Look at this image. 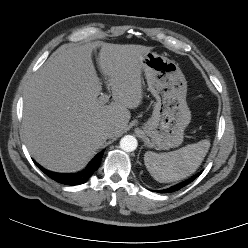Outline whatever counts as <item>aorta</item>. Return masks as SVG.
Here are the masks:
<instances>
[{"instance_id": "762f6f07", "label": "aorta", "mask_w": 248, "mask_h": 248, "mask_svg": "<svg viewBox=\"0 0 248 248\" xmlns=\"http://www.w3.org/2000/svg\"><path fill=\"white\" fill-rule=\"evenodd\" d=\"M138 142L134 136L126 135L120 140V148L125 152H132L137 148Z\"/></svg>"}]
</instances>
